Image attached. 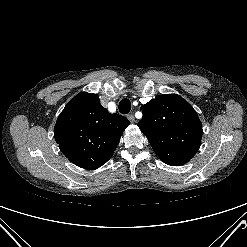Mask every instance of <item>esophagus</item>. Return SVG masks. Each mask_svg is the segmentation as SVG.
<instances>
[{"label": "esophagus", "mask_w": 247, "mask_h": 247, "mask_svg": "<svg viewBox=\"0 0 247 247\" xmlns=\"http://www.w3.org/2000/svg\"><path fill=\"white\" fill-rule=\"evenodd\" d=\"M127 118L129 119L130 122L134 123L135 122V117L133 114L127 115Z\"/></svg>", "instance_id": "34e87169"}]
</instances>
